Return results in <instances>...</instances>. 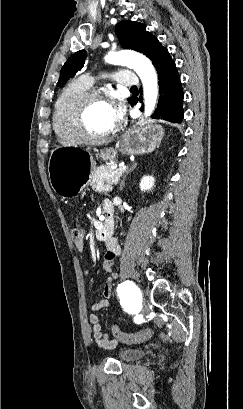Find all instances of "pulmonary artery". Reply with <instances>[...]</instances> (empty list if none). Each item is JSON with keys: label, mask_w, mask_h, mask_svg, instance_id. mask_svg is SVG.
Returning <instances> with one entry per match:
<instances>
[{"label": "pulmonary artery", "mask_w": 243, "mask_h": 409, "mask_svg": "<svg viewBox=\"0 0 243 409\" xmlns=\"http://www.w3.org/2000/svg\"><path fill=\"white\" fill-rule=\"evenodd\" d=\"M114 78H115V81L119 85L124 86V87L131 88L133 86H137L139 83L137 76L133 72L128 71V70H123V71H119L115 73ZM82 79L89 86H91L93 83L92 77L88 75H84Z\"/></svg>", "instance_id": "pulmonary-artery-1"}]
</instances>
